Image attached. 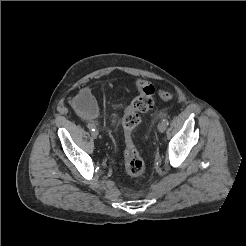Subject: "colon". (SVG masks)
<instances>
[{"instance_id":"5ec220e1","label":"colon","mask_w":246,"mask_h":246,"mask_svg":"<svg viewBox=\"0 0 246 246\" xmlns=\"http://www.w3.org/2000/svg\"><path fill=\"white\" fill-rule=\"evenodd\" d=\"M136 87L139 94L131 102L123 118L126 132L124 163L126 172L131 177H140L145 172V163L133 143L131 132L140 124L142 114L153 107L155 93L153 85L143 80H137ZM158 94L165 102H169L173 98L172 94L166 90H159Z\"/></svg>"}]
</instances>
